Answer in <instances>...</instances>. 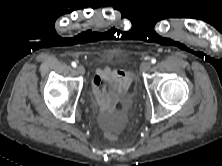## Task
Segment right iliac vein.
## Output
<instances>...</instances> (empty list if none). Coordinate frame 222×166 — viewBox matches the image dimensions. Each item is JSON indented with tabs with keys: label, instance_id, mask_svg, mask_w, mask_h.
I'll return each mask as SVG.
<instances>
[{
	"label": "right iliac vein",
	"instance_id": "right-iliac-vein-1",
	"mask_svg": "<svg viewBox=\"0 0 222 166\" xmlns=\"http://www.w3.org/2000/svg\"><path fill=\"white\" fill-rule=\"evenodd\" d=\"M76 72L80 75H83L85 73V69L83 66L79 65L76 67Z\"/></svg>",
	"mask_w": 222,
	"mask_h": 166
}]
</instances>
